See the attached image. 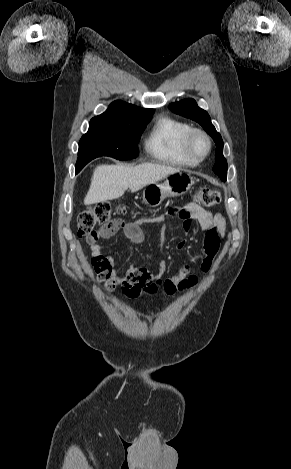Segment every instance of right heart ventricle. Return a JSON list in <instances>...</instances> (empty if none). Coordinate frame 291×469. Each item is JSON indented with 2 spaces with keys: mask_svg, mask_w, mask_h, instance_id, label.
<instances>
[{
  "mask_svg": "<svg viewBox=\"0 0 291 469\" xmlns=\"http://www.w3.org/2000/svg\"><path fill=\"white\" fill-rule=\"evenodd\" d=\"M192 127L170 116L158 117L152 125L144 143L146 153L154 160L178 167H194L183 149V139Z\"/></svg>",
  "mask_w": 291,
  "mask_h": 469,
  "instance_id": "1",
  "label": "right heart ventricle"
}]
</instances>
